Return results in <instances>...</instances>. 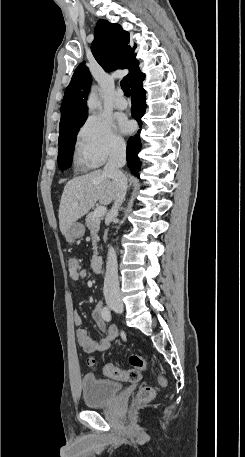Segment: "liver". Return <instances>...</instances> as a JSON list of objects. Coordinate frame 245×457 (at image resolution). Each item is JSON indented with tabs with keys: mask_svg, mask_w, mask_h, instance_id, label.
Segmentation results:
<instances>
[{
	"mask_svg": "<svg viewBox=\"0 0 245 457\" xmlns=\"http://www.w3.org/2000/svg\"><path fill=\"white\" fill-rule=\"evenodd\" d=\"M117 184L103 170H93L68 180L62 192L59 206V226L62 235L68 233L71 224L89 212L99 200L109 204L117 196Z\"/></svg>",
	"mask_w": 245,
	"mask_h": 457,
	"instance_id": "liver-1",
	"label": "liver"
}]
</instances>
